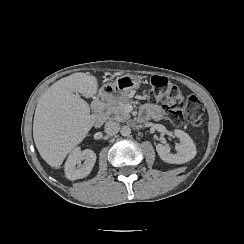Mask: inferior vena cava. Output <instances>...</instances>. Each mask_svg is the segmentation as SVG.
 Masks as SVG:
<instances>
[{
    "label": "inferior vena cava",
    "instance_id": "obj_1",
    "mask_svg": "<svg viewBox=\"0 0 244 244\" xmlns=\"http://www.w3.org/2000/svg\"><path fill=\"white\" fill-rule=\"evenodd\" d=\"M105 132L109 135L117 134L120 130V124L115 121H108L104 124Z\"/></svg>",
    "mask_w": 244,
    "mask_h": 244
}]
</instances>
